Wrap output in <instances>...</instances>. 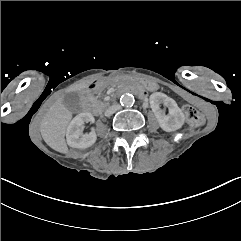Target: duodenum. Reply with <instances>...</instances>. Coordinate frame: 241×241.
<instances>
[{"instance_id": "410a0bca", "label": "duodenum", "mask_w": 241, "mask_h": 241, "mask_svg": "<svg viewBox=\"0 0 241 241\" xmlns=\"http://www.w3.org/2000/svg\"><path fill=\"white\" fill-rule=\"evenodd\" d=\"M104 82L102 80H95L91 82L82 93V106L85 111L97 113L98 110L93 106L91 98L92 95L103 86ZM125 93H132L140 98H144L146 92L135 86L123 87L115 92L116 96H120Z\"/></svg>"}]
</instances>
